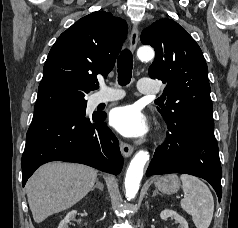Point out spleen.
<instances>
[{"label":"spleen","instance_id":"obj_1","mask_svg":"<svg viewBox=\"0 0 238 228\" xmlns=\"http://www.w3.org/2000/svg\"><path fill=\"white\" fill-rule=\"evenodd\" d=\"M184 198L180 204L184 211L192 216L197 228H208L214 212V199L208 186L195 176H180Z\"/></svg>","mask_w":238,"mask_h":228}]
</instances>
